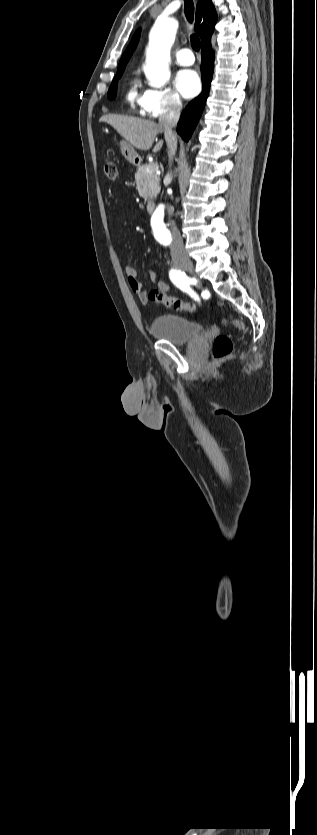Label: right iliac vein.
Returning <instances> with one entry per match:
<instances>
[{"instance_id":"right-iliac-vein-1","label":"right iliac vein","mask_w":317,"mask_h":835,"mask_svg":"<svg viewBox=\"0 0 317 835\" xmlns=\"http://www.w3.org/2000/svg\"><path fill=\"white\" fill-rule=\"evenodd\" d=\"M174 263L177 268L187 271L191 274L194 273L193 263L188 257L177 258L175 259Z\"/></svg>"}]
</instances>
